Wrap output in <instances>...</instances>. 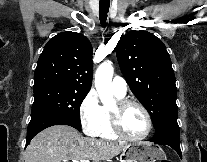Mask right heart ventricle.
<instances>
[{
	"instance_id": "1",
	"label": "right heart ventricle",
	"mask_w": 207,
	"mask_h": 162,
	"mask_svg": "<svg viewBox=\"0 0 207 162\" xmlns=\"http://www.w3.org/2000/svg\"><path fill=\"white\" fill-rule=\"evenodd\" d=\"M118 98L121 99L120 97ZM102 113H103V124H102V127L100 129L98 136L100 138L108 139V140L116 139V136L114 135L111 129L108 109L105 107H102Z\"/></svg>"
}]
</instances>
